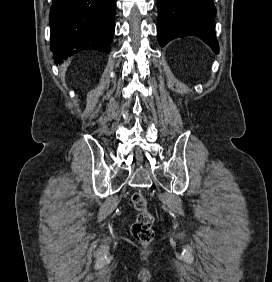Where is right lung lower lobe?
Instances as JSON below:
<instances>
[{"label": "right lung lower lobe", "mask_w": 272, "mask_h": 282, "mask_svg": "<svg viewBox=\"0 0 272 282\" xmlns=\"http://www.w3.org/2000/svg\"><path fill=\"white\" fill-rule=\"evenodd\" d=\"M116 0H53L51 51L58 62L87 49L109 53Z\"/></svg>", "instance_id": "right-lung-lower-lobe-1"}]
</instances>
